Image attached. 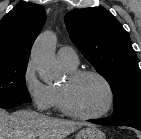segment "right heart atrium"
I'll use <instances>...</instances> for the list:
<instances>
[{
	"instance_id": "obj_1",
	"label": "right heart atrium",
	"mask_w": 141,
	"mask_h": 139,
	"mask_svg": "<svg viewBox=\"0 0 141 139\" xmlns=\"http://www.w3.org/2000/svg\"><path fill=\"white\" fill-rule=\"evenodd\" d=\"M22 82L30 101L37 110L48 111L53 107L51 87L39 79L31 60L25 65Z\"/></svg>"
}]
</instances>
